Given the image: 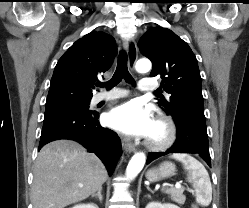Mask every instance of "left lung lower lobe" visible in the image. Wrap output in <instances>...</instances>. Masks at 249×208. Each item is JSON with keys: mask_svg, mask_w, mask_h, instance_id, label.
Masks as SVG:
<instances>
[{"mask_svg": "<svg viewBox=\"0 0 249 208\" xmlns=\"http://www.w3.org/2000/svg\"><path fill=\"white\" fill-rule=\"evenodd\" d=\"M173 119L177 127L175 143L166 152L149 153L147 164L169 153H196L211 167L205 116L184 111Z\"/></svg>", "mask_w": 249, "mask_h": 208, "instance_id": "1", "label": "left lung lower lobe"}]
</instances>
